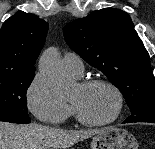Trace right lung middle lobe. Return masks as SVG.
<instances>
[{
  "mask_svg": "<svg viewBox=\"0 0 155 149\" xmlns=\"http://www.w3.org/2000/svg\"><path fill=\"white\" fill-rule=\"evenodd\" d=\"M35 72L0 75V121L29 123L26 91Z\"/></svg>",
  "mask_w": 155,
  "mask_h": 149,
  "instance_id": "dd1d6c3e",
  "label": "right lung middle lobe"
}]
</instances>
